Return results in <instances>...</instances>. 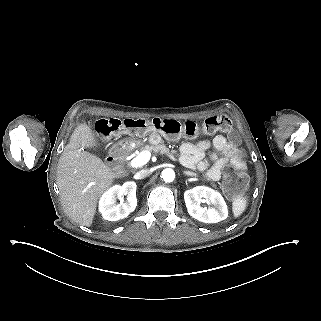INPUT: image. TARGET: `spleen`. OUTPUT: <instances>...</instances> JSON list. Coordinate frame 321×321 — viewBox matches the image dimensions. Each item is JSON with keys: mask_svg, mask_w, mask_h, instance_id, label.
<instances>
[{"mask_svg": "<svg viewBox=\"0 0 321 321\" xmlns=\"http://www.w3.org/2000/svg\"><path fill=\"white\" fill-rule=\"evenodd\" d=\"M248 201V197L242 194L236 195L232 198L231 210L234 218H238L245 211Z\"/></svg>", "mask_w": 321, "mask_h": 321, "instance_id": "3e777b00", "label": "spleen"}]
</instances>
